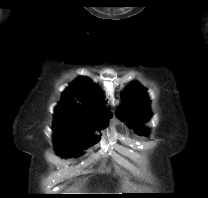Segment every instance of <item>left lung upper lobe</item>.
<instances>
[{
	"label": "left lung upper lobe",
	"mask_w": 208,
	"mask_h": 198,
	"mask_svg": "<svg viewBox=\"0 0 208 198\" xmlns=\"http://www.w3.org/2000/svg\"><path fill=\"white\" fill-rule=\"evenodd\" d=\"M149 102L146 90L134 82L123 92V106L118 111L119 116L135 127L141 135L148 133L143 124L151 117Z\"/></svg>",
	"instance_id": "5c2ea615"
}]
</instances>
